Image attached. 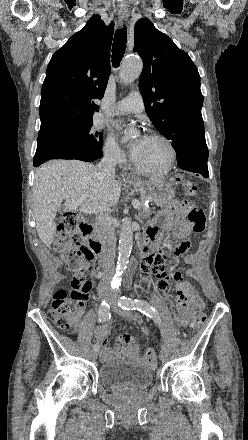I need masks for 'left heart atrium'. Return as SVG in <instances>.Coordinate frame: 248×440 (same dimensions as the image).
Here are the masks:
<instances>
[{
    "label": "left heart atrium",
    "mask_w": 248,
    "mask_h": 440,
    "mask_svg": "<svg viewBox=\"0 0 248 440\" xmlns=\"http://www.w3.org/2000/svg\"><path fill=\"white\" fill-rule=\"evenodd\" d=\"M147 137L145 135H140L134 142L129 146V151L132 159L134 160L141 152Z\"/></svg>",
    "instance_id": "39dd6f15"
}]
</instances>
